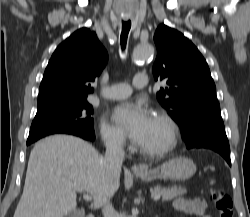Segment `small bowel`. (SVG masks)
<instances>
[{"mask_svg": "<svg viewBox=\"0 0 250 217\" xmlns=\"http://www.w3.org/2000/svg\"><path fill=\"white\" fill-rule=\"evenodd\" d=\"M174 209L190 215H196L200 217H211L206 214L207 203L203 198H178L174 201Z\"/></svg>", "mask_w": 250, "mask_h": 217, "instance_id": "1", "label": "small bowel"}]
</instances>
